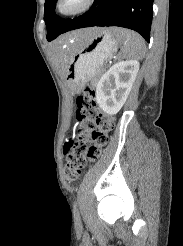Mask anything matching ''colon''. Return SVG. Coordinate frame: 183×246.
<instances>
[{"label":"colon","mask_w":183,"mask_h":246,"mask_svg":"<svg viewBox=\"0 0 183 246\" xmlns=\"http://www.w3.org/2000/svg\"><path fill=\"white\" fill-rule=\"evenodd\" d=\"M76 103L77 136L65 145V175L69 181H75L88 163L99 158L115 124L114 117L98 111L92 87H85Z\"/></svg>","instance_id":"1"}]
</instances>
